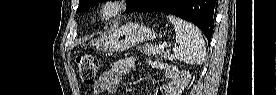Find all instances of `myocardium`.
Instances as JSON below:
<instances>
[{
    "label": "myocardium",
    "mask_w": 277,
    "mask_h": 95,
    "mask_svg": "<svg viewBox=\"0 0 277 95\" xmlns=\"http://www.w3.org/2000/svg\"><path fill=\"white\" fill-rule=\"evenodd\" d=\"M126 1L123 0H107L100 9V16L106 20H112L119 16L126 9Z\"/></svg>",
    "instance_id": "f54148a6"
}]
</instances>
